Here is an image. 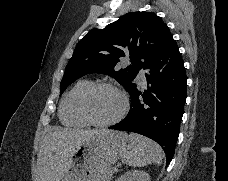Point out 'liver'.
<instances>
[{
    "instance_id": "obj_1",
    "label": "liver",
    "mask_w": 228,
    "mask_h": 181,
    "mask_svg": "<svg viewBox=\"0 0 228 181\" xmlns=\"http://www.w3.org/2000/svg\"><path fill=\"white\" fill-rule=\"evenodd\" d=\"M96 131L104 129H52L47 133L37 157L38 181H62L76 149Z\"/></svg>"
}]
</instances>
